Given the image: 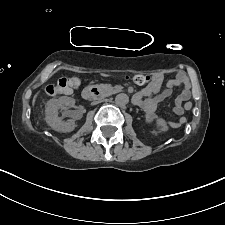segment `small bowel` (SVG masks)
Wrapping results in <instances>:
<instances>
[{
  "label": "small bowel",
  "mask_w": 225,
  "mask_h": 225,
  "mask_svg": "<svg viewBox=\"0 0 225 225\" xmlns=\"http://www.w3.org/2000/svg\"><path fill=\"white\" fill-rule=\"evenodd\" d=\"M163 86L164 88L162 89ZM176 87H182V90L176 99L173 112L177 116H182L184 113L182 104L189 99L191 89L189 78L182 72H178L174 79H171L166 83L163 74H156L153 77V81L135 95V102L143 109L147 123L152 124L155 121V111L157 106L164 99L169 97ZM181 119L185 118L180 117L178 121L168 122V126L177 128L180 125Z\"/></svg>",
  "instance_id": "c3829d8e"
}]
</instances>
